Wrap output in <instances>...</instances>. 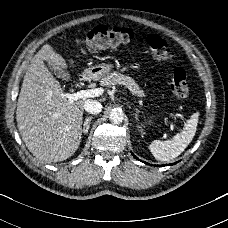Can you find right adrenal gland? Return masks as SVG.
I'll list each match as a JSON object with an SVG mask.
<instances>
[{"label": "right adrenal gland", "instance_id": "obj_1", "mask_svg": "<svg viewBox=\"0 0 228 228\" xmlns=\"http://www.w3.org/2000/svg\"><path fill=\"white\" fill-rule=\"evenodd\" d=\"M92 119H93L92 116L85 118V121L83 123V128H82L81 132H83L85 134L88 133V130L90 128V122H91Z\"/></svg>", "mask_w": 228, "mask_h": 228}]
</instances>
